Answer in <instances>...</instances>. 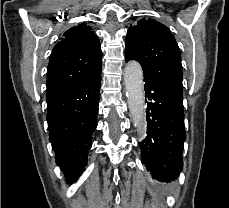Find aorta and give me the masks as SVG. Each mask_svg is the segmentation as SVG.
Segmentation results:
<instances>
[{
    "label": "aorta",
    "instance_id": "aorta-1",
    "mask_svg": "<svg viewBox=\"0 0 229 208\" xmlns=\"http://www.w3.org/2000/svg\"><path fill=\"white\" fill-rule=\"evenodd\" d=\"M124 81L133 124L137 133L144 135L146 133L144 82L143 70L138 62L127 63L124 69Z\"/></svg>",
    "mask_w": 229,
    "mask_h": 208
}]
</instances>
